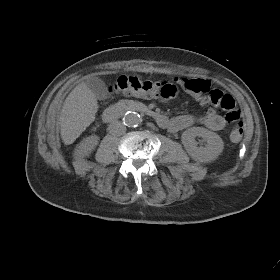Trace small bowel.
Here are the masks:
<instances>
[{"instance_id":"obj_1","label":"small bowel","mask_w":280,"mask_h":280,"mask_svg":"<svg viewBox=\"0 0 280 280\" xmlns=\"http://www.w3.org/2000/svg\"><path fill=\"white\" fill-rule=\"evenodd\" d=\"M176 83L187 93L191 94L202 106L209 101L205 92L211 87L209 81L196 78H177ZM199 123L213 131H222L227 126L224 117L217 114L213 109H208L203 115L182 114L168 118L165 129L170 132H178Z\"/></svg>"}]
</instances>
